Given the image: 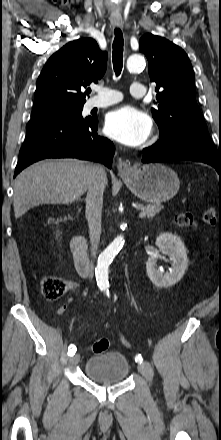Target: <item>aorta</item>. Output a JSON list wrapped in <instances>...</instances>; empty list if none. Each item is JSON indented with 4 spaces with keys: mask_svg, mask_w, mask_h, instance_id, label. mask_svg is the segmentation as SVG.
<instances>
[{
    "mask_svg": "<svg viewBox=\"0 0 221 440\" xmlns=\"http://www.w3.org/2000/svg\"><path fill=\"white\" fill-rule=\"evenodd\" d=\"M145 67V59L143 56L135 54L131 55L127 60V69L130 72H136ZM124 244L123 236L116 237L111 244L100 254L97 267L95 270L96 280L100 288L108 290V269L115 255L119 252Z\"/></svg>",
    "mask_w": 221,
    "mask_h": 440,
    "instance_id": "762f6f07",
    "label": "aorta"
}]
</instances>
